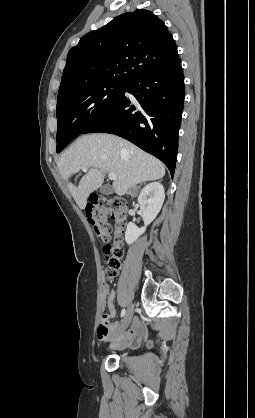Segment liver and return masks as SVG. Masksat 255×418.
Wrapping results in <instances>:
<instances>
[{"mask_svg":"<svg viewBox=\"0 0 255 418\" xmlns=\"http://www.w3.org/2000/svg\"><path fill=\"white\" fill-rule=\"evenodd\" d=\"M57 166L67 182L83 167L89 168L77 187L68 182L71 195L81 209L85 208L90 193L102 186L103 171L116 175L113 188L119 196L139 183L165 175V166L160 160L111 134L81 136L61 155Z\"/></svg>","mask_w":255,"mask_h":418,"instance_id":"1","label":"liver"}]
</instances>
